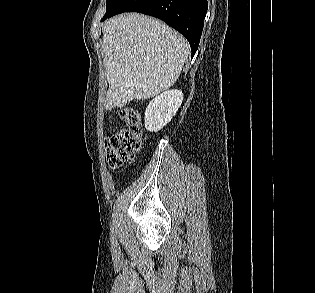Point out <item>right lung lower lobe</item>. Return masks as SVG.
<instances>
[{
  "instance_id": "1",
  "label": "right lung lower lobe",
  "mask_w": 315,
  "mask_h": 293,
  "mask_svg": "<svg viewBox=\"0 0 315 293\" xmlns=\"http://www.w3.org/2000/svg\"><path fill=\"white\" fill-rule=\"evenodd\" d=\"M207 0H112L102 21L123 12L157 17L183 34L194 56L201 37Z\"/></svg>"
}]
</instances>
